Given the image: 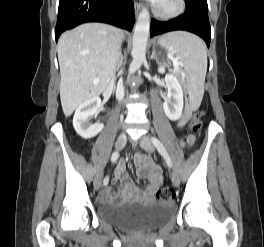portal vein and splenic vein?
Masks as SVG:
<instances>
[{"instance_id":"18ae733b","label":"portal vein and splenic vein","mask_w":264,"mask_h":247,"mask_svg":"<svg viewBox=\"0 0 264 247\" xmlns=\"http://www.w3.org/2000/svg\"><path fill=\"white\" fill-rule=\"evenodd\" d=\"M173 67H174V71L178 70L179 63L176 60H173Z\"/></svg>"}]
</instances>
